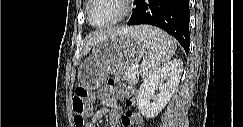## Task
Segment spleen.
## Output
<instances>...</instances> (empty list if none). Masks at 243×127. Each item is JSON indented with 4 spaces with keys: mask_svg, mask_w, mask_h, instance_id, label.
<instances>
[{
    "mask_svg": "<svg viewBox=\"0 0 243 127\" xmlns=\"http://www.w3.org/2000/svg\"><path fill=\"white\" fill-rule=\"evenodd\" d=\"M143 42L145 57L140 74L150 76L166 65L176 50V41L159 28L141 26L133 32Z\"/></svg>",
    "mask_w": 243,
    "mask_h": 127,
    "instance_id": "obj_1",
    "label": "spleen"
}]
</instances>
